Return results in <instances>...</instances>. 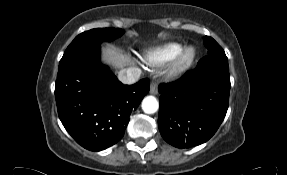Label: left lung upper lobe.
Listing matches in <instances>:
<instances>
[{"label": "left lung upper lobe", "instance_id": "5c2ea615", "mask_svg": "<svg viewBox=\"0 0 287 175\" xmlns=\"http://www.w3.org/2000/svg\"><path fill=\"white\" fill-rule=\"evenodd\" d=\"M204 44L208 49V55L197 64L198 70H221L229 73L228 58L222 47L211 37L204 38Z\"/></svg>", "mask_w": 287, "mask_h": 175}]
</instances>
